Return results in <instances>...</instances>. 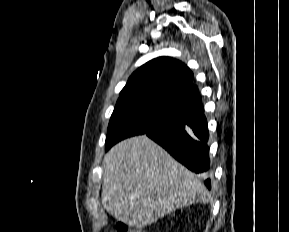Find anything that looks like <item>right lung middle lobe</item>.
I'll return each instance as SVG.
<instances>
[{"mask_svg": "<svg viewBox=\"0 0 289 232\" xmlns=\"http://www.w3.org/2000/svg\"><path fill=\"white\" fill-rule=\"evenodd\" d=\"M184 112L140 99H119L111 116L106 151L120 140L144 134L179 118Z\"/></svg>", "mask_w": 289, "mask_h": 232, "instance_id": "right-lung-middle-lobe-1", "label": "right lung middle lobe"}]
</instances>
